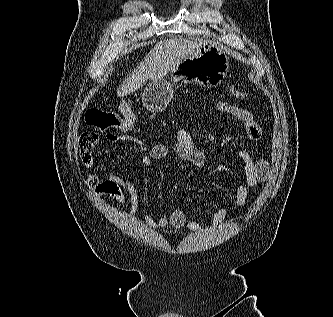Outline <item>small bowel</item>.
Returning <instances> with one entry per match:
<instances>
[{
	"instance_id": "1",
	"label": "small bowel",
	"mask_w": 333,
	"mask_h": 317,
	"mask_svg": "<svg viewBox=\"0 0 333 317\" xmlns=\"http://www.w3.org/2000/svg\"><path fill=\"white\" fill-rule=\"evenodd\" d=\"M215 108L230 115L236 123L241 124L249 138L255 141L261 139L262 129L250 111L228 102H217ZM105 139L110 142L129 141L136 144L141 150L145 149L144 143L132 135L107 133ZM99 141L100 138L95 133H84L79 139L80 159L87 168L91 169L94 166L93 148ZM172 154L195 167H203L205 164L204 153L196 146L192 135L185 128L177 131L173 142L156 144L151 147L149 152L141 158L140 163L142 167L150 168L156 161L165 160ZM236 155L243 164L244 180L238 181L236 184L235 203L239 208H243L247 203L249 189L255 188L268 179L270 165L264 159L254 160L245 149H237ZM126 166L127 162L119 164L106 179H102L95 172L90 173L87 184L96 196H107L114 199L119 204L121 212L126 211L129 206L131 214L135 216L139 206L138 193L132 183L120 176V172ZM225 216V208L218 207L212 217L213 225H221ZM147 223L152 229L186 227L194 232L201 230V225L189 218L180 208H175L170 214L162 215L158 220L147 217Z\"/></svg>"
}]
</instances>
